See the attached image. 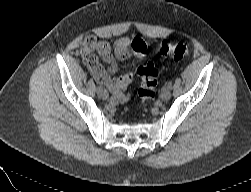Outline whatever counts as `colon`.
<instances>
[{"mask_svg":"<svg viewBox=\"0 0 251 192\" xmlns=\"http://www.w3.org/2000/svg\"><path fill=\"white\" fill-rule=\"evenodd\" d=\"M160 54L176 61H182L189 56V49L183 43H164L160 48ZM136 73L141 81L138 89L140 99L146 101L154 98L158 78V70L155 65L147 63L139 67Z\"/></svg>","mask_w":251,"mask_h":192,"instance_id":"obj_1","label":"colon"}]
</instances>
